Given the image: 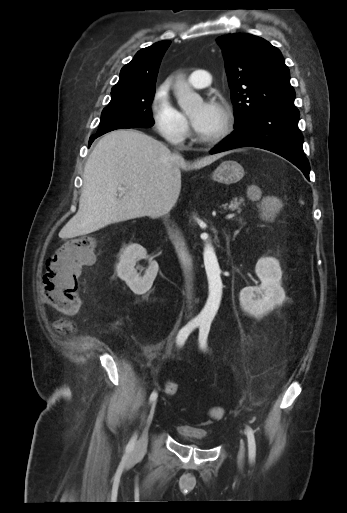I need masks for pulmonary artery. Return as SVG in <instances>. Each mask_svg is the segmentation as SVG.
Masks as SVG:
<instances>
[{"label": "pulmonary artery", "mask_w": 347, "mask_h": 513, "mask_svg": "<svg viewBox=\"0 0 347 513\" xmlns=\"http://www.w3.org/2000/svg\"><path fill=\"white\" fill-rule=\"evenodd\" d=\"M190 83L195 88H205L211 82V75L206 70H195L190 74Z\"/></svg>", "instance_id": "1"}]
</instances>
